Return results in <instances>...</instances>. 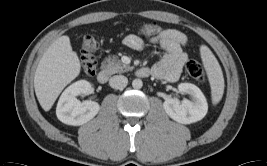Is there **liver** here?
Returning a JSON list of instances; mask_svg holds the SVG:
<instances>
[{
  "mask_svg": "<svg viewBox=\"0 0 267 166\" xmlns=\"http://www.w3.org/2000/svg\"><path fill=\"white\" fill-rule=\"evenodd\" d=\"M80 70V60L68 36L59 37L48 47L34 76L35 93L45 111L52 108L59 94L79 75Z\"/></svg>",
  "mask_w": 267,
  "mask_h": 166,
  "instance_id": "liver-1",
  "label": "liver"
}]
</instances>
